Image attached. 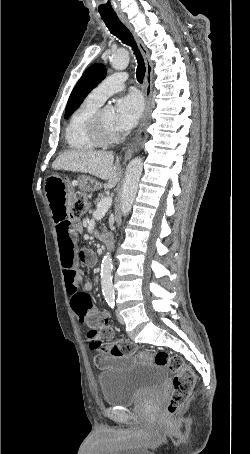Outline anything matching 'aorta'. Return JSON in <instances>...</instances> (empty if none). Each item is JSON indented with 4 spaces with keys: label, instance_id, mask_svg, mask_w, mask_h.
Segmentation results:
<instances>
[{
    "label": "aorta",
    "instance_id": "aorta-1",
    "mask_svg": "<svg viewBox=\"0 0 250 454\" xmlns=\"http://www.w3.org/2000/svg\"><path fill=\"white\" fill-rule=\"evenodd\" d=\"M129 64V53L125 48H120L112 54L111 65L116 70H124ZM143 169V160L136 157L128 164L121 192V212L124 216L131 211L135 200L138 184ZM113 262L111 254L108 252L102 259L101 264V287L106 300L114 299V289L112 285Z\"/></svg>",
    "mask_w": 250,
    "mask_h": 454
}]
</instances>
